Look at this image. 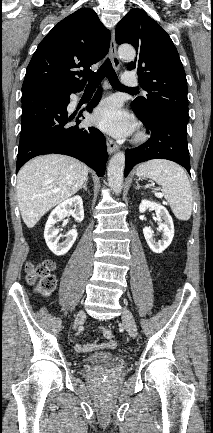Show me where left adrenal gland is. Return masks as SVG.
<instances>
[{
    "mask_svg": "<svg viewBox=\"0 0 213 433\" xmlns=\"http://www.w3.org/2000/svg\"><path fill=\"white\" fill-rule=\"evenodd\" d=\"M140 189V185L138 182H136V190Z\"/></svg>",
    "mask_w": 213,
    "mask_h": 433,
    "instance_id": "left-adrenal-gland-1",
    "label": "left adrenal gland"
}]
</instances>
